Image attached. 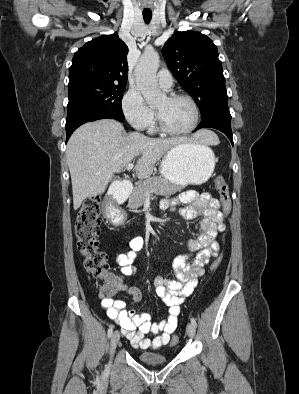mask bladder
I'll use <instances>...</instances> for the list:
<instances>
[{"label":"bladder","mask_w":299,"mask_h":394,"mask_svg":"<svg viewBox=\"0 0 299 394\" xmlns=\"http://www.w3.org/2000/svg\"><path fill=\"white\" fill-rule=\"evenodd\" d=\"M138 360L143 365L149 367L164 365L168 362V358L166 356L157 353H151V352L140 353L138 355Z\"/></svg>","instance_id":"obj_1"}]
</instances>
